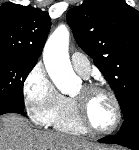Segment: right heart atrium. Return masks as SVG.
<instances>
[{
  "label": "right heart atrium",
  "instance_id": "obj_1",
  "mask_svg": "<svg viewBox=\"0 0 139 150\" xmlns=\"http://www.w3.org/2000/svg\"><path fill=\"white\" fill-rule=\"evenodd\" d=\"M23 98L30 119L38 126H48L62 95L57 91L43 65H35L23 82Z\"/></svg>",
  "mask_w": 139,
  "mask_h": 150
}]
</instances>
